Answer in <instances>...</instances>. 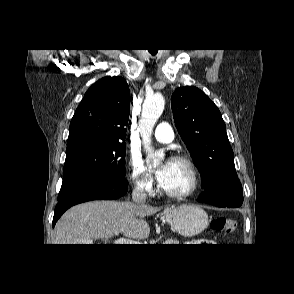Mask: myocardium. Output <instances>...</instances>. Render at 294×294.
I'll list each match as a JSON object with an SVG mask.
<instances>
[{"label":"myocardium","mask_w":294,"mask_h":294,"mask_svg":"<svg viewBox=\"0 0 294 294\" xmlns=\"http://www.w3.org/2000/svg\"><path fill=\"white\" fill-rule=\"evenodd\" d=\"M173 161L179 162L187 167L191 176V184L188 189L182 192H170L165 190L161 184L159 185V191L162 195L173 199H184L191 196L198 188L200 183L199 172L192 159L184 155H177L173 158Z\"/></svg>","instance_id":"f54148a6"}]
</instances>
